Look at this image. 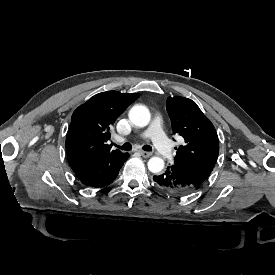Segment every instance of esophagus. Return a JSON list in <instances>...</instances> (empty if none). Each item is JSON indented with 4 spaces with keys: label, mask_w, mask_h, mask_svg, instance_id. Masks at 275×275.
Segmentation results:
<instances>
[{
    "label": "esophagus",
    "mask_w": 275,
    "mask_h": 275,
    "mask_svg": "<svg viewBox=\"0 0 275 275\" xmlns=\"http://www.w3.org/2000/svg\"><path fill=\"white\" fill-rule=\"evenodd\" d=\"M140 154H141L144 158H149L150 155H151L149 152L142 151V150H140Z\"/></svg>",
    "instance_id": "obj_1"
}]
</instances>
